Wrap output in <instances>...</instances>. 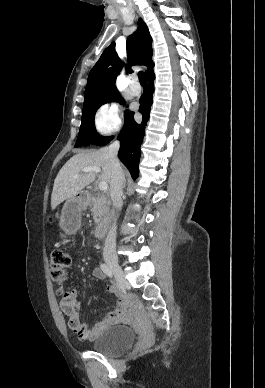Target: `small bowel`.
<instances>
[{"instance_id": "obj_1", "label": "small bowel", "mask_w": 265, "mask_h": 388, "mask_svg": "<svg viewBox=\"0 0 265 388\" xmlns=\"http://www.w3.org/2000/svg\"><path fill=\"white\" fill-rule=\"evenodd\" d=\"M93 275L97 279L104 278L101 267H96L93 270ZM107 291L118 295L116 304L117 310L110 312L104 320L90 328L80 319L79 309L81 307V301L78 299L77 291L70 290L60 301V309L67 317V322H65L63 318H60L58 321L59 330L64 332L68 328L73 331L80 340L93 341L107 327L127 322L129 320L128 308L131 302L130 298L126 294L119 292L114 285H108Z\"/></svg>"}]
</instances>
